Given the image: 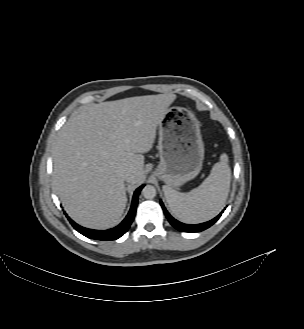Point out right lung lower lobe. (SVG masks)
Wrapping results in <instances>:
<instances>
[{
	"label": "right lung lower lobe",
	"mask_w": 304,
	"mask_h": 329,
	"mask_svg": "<svg viewBox=\"0 0 304 329\" xmlns=\"http://www.w3.org/2000/svg\"><path fill=\"white\" fill-rule=\"evenodd\" d=\"M144 187V185L140 186L135 192L132 200V205L130 208V211L126 218L116 227L109 229V230H92V229H87L84 228L78 224H76L74 221H72L69 217L68 220L76 229L79 233L82 235L90 238V239H96V240H103V241H108V240H116L120 238L122 235H124L127 230L129 229L135 213H136V207L138 204V195L141 191V189Z\"/></svg>",
	"instance_id": "1"
}]
</instances>
